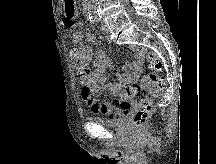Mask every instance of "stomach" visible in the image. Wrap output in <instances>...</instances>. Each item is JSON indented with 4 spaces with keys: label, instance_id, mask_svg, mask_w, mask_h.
Masks as SVG:
<instances>
[{
    "label": "stomach",
    "instance_id": "stomach-1",
    "mask_svg": "<svg viewBox=\"0 0 216 164\" xmlns=\"http://www.w3.org/2000/svg\"><path fill=\"white\" fill-rule=\"evenodd\" d=\"M62 3H65L63 20H77L78 12H76L77 8L74 0H62Z\"/></svg>",
    "mask_w": 216,
    "mask_h": 164
}]
</instances>
